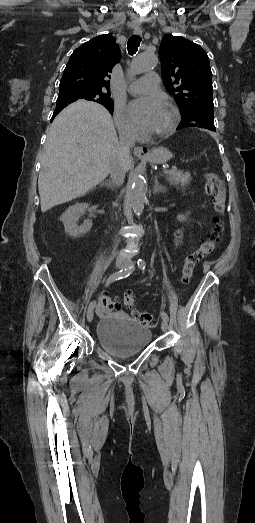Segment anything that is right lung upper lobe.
Listing matches in <instances>:
<instances>
[{"label": "right lung upper lobe", "mask_w": 255, "mask_h": 523, "mask_svg": "<svg viewBox=\"0 0 255 523\" xmlns=\"http://www.w3.org/2000/svg\"><path fill=\"white\" fill-rule=\"evenodd\" d=\"M121 57L111 34L97 36L78 47L70 56L59 89H77L110 94V73ZM69 103L56 102L54 117ZM113 113V100L100 103Z\"/></svg>", "instance_id": "obj_1"}]
</instances>
